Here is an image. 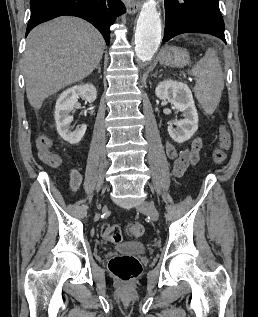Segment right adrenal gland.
Here are the masks:
<instances>
[{
    "instance_id": "obj_1",
    "label": "right adrenal gland",
    "mask_w": 258,
    "mask_h": 317,
    "mask_svg": "<svg viewBox=\"0 0 258 317\" xmlns=\"http://www.w3.org/2000/svg\"><path fill=\"white\" fill-rule=\"evenodd\" d=\"M96 68H98V72H101V64H97Z\"/></svg>"
}]
</instances>
